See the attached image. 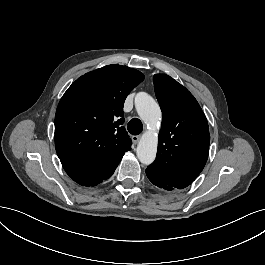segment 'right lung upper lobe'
I'll list each match as a JSON object with an SVG mask.
<instances>
[{"label": "right lung upper lobe", "mask_w": 265, "mask_h": 265, "mask_svg": "<svg viewBox=\"0 0 265 265\" xmlns=\"http://www.w3.org/2000/svg\"><path fill=\"white\" fill-rule=\"evenodd\" d=\"M144 79L138 70L107 65L78 78L64 93L55 115L60 159L106 160L131 149L123 104Z\"/></svg>", "instance_id": "right-lung-upper-lobe-1"}]
</instances>
